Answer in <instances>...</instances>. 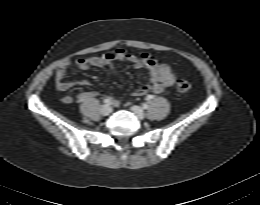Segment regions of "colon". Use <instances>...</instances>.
Listing matches in <instances>:
<instances>
[{"instance_id":"colon-1","label":"colon","mask_w":260,"mask_h":205,"mask_svg":"<svg viewBox=\"0 0 260 205\" xmlns=\"http://www.w3.org/2000/svg\"><path fill=\"white\" fill-rule=\"evenodd\" d=\"M176 89L180 92H187L191 89V84L183 79L177 80Z\"/></svg>"}]
</instances>
